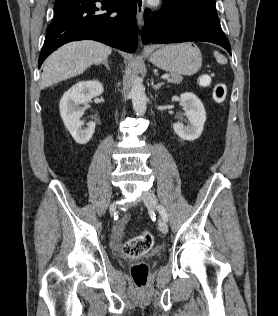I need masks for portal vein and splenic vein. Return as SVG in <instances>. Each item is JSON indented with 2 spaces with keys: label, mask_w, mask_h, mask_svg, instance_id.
<instances>
[{
  "label": "portal vein and splenic vein",
  "mask_w": 278,
  "mask_h": 316,
  "mask_svg": "<svg viewBox=\"0 0 278 316\" xmlns=\"http://www.w3.org/2000/svg\"><path fill=\"white\" fill-rule=\"evenodd\" d=\"M170 77V75H168V74H165V75H162V79H164V80H166V79H168Z\"/></svg>",
  "instance_id": "obj_1"
}]
</instances>
